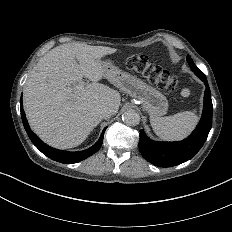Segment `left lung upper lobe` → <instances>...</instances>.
<instances>
[{"label": "left lung upper lobe", "instance_id": "obj_1", "mask_svg": "<svg viewBox=\"0 0 232 232\" xmlns=\"http://www.w3.org/2000/svg\"><path fill=\"white\" fill-rule=\"evenodd\" d=\"M187 62L191 68V70L198 76V77H206L205 74L198 69V67L194 64L193 60L191 59V57L188 55L187 56Z\"/></svg>", "mask_w": 232, "mask_h": 232}]
</instances>
